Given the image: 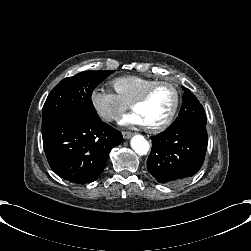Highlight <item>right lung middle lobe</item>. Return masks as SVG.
<instances>
[{"mask_svg": "<svg viewBox=\"0 0 251 251\" xmlns=\"http://www.w3.org/2000/svg\"><path fill=\"white\" fill-rule=\"evenodd\" d=\"M114 71H84L60 81L48 95L42 110V127L68 114L99 118L91 94Z\"/></svg>", "mask_w": 251, "mask_h": 251, "instance_id": "dd1d6c3e", "label": "right lung middle lobe"}]
</instances>
